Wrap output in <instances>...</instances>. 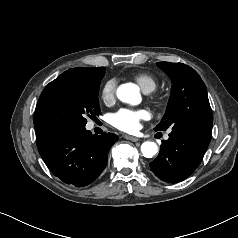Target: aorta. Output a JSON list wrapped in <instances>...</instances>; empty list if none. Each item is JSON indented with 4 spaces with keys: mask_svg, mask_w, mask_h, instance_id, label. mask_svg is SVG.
Masks as SVG:
<instances>
[{
    "mask_svg": "<svg viewBox=\"0 0 238 238\" xmlns=\"http://www.w3.org/2000/svg\"><path fill=\"white\" fill-rule=\"evenodd\" d=\"M117 97L124 103L136 104L140 100L139 89L131 83L122 84L117 89ZM141 152L144 157L152 158L158 152V146L155 142L145 141L141 145Z\"/></svg>",
    "mask_w": 238,
    "mask_h": 238,
    "instance_id": "aorta-1",
    "label": "aorta"
}]
</instances>
